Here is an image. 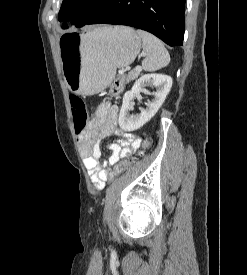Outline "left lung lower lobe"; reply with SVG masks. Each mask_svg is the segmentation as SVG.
<instances>
[{
  "mask_svg": "<svg viewBox=\"0 0 247 275\" xmlns=\"http://www.w3.org/2000/svg\"><path fill=\"white\" fill-rule=\"evenodd\" d=\"M184 8L185 0H108L84 25L132 26L154 34L169 46H181Z\"/></svg>",
  "mask_w": 247,
  "mask_h": 275,
  "instance_id": "0a47b994",
  "label": "left lung lower lobe"
}]
</instances>
